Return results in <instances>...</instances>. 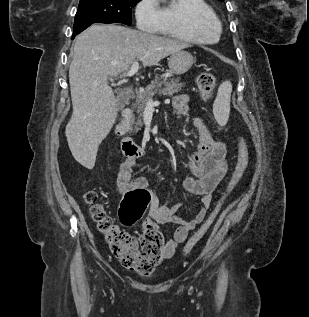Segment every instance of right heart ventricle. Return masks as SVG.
Listing matches in <instances>:
<instances>
[{
    "label": "right heart ventricle",
    "instance_id": "obj_1",
    "mask_svg": "<svg viewBox=\"0 0 309 317\" xmlns=\"http://www.w3.org/2000/svg\"><path fill=\"white\" fill-rule=\"evenodd\" d=\"M156 33L195 44L218 41L221 22L205 0H162Z\"/></svg>",
    "mask_w": 309,
    "mask_h": 317
}]
</instances>
